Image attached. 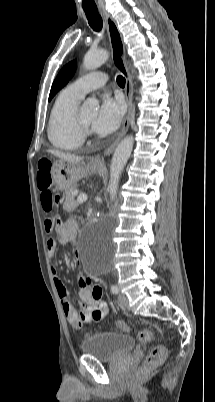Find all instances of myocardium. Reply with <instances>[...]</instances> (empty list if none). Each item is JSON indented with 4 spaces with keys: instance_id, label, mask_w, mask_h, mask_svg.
<instances>
[{
    "instance_id": "obj_1",
    "label": "myocardium",
    "mask_w": 215,
    "mask_h": 402,
    "mask_svg": "<svg viewBox=\"0 0 215 402\" xmlns=\"http://www.w3.org/2000/svg\"><path fill=\"white\" fill-rule=\"evenodd\" d=\"M75 123H76V126H77L79 132L83 135V137L91 134L90 127L86 126L81 120L79 109H77L76 113H75Z\"/></svg>"
}]
</instances>
